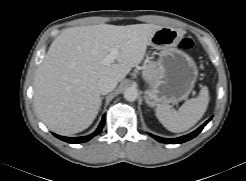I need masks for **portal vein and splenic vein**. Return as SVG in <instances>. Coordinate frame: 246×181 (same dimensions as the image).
Listing matches in <instances>:
<instances>
[{
  "instance_id": "obj_1",
  "label": "portal vein and splenic vein",
  "mask_w": 246,
  "mask_h": 181,
  "mask_svg": "<svg viewBox=\"0 0 246 181\" xmlns=\"http://www.w3.org/2000/svg\"><path fill=\"white\" fill-rule=\"evenodd\" d=\"M119 54V50L114 47L111 49L110 53L104 58L103 62L105 65H110L114 62V60L117 58Z\"/></svg>"
}]
</instances>
